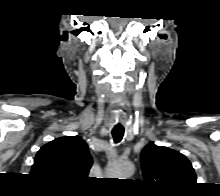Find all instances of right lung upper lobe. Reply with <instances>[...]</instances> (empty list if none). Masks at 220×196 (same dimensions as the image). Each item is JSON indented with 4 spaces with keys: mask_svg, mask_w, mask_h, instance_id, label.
<instances>
[{
    "mask_svg": "<svg viewBox=\"0 0 220 196\" xmlns=\"http://www.w3.org/2000/svg\"><path fill=\"white\" fill-rule=\"evenodd\" d=\"M91 166L85 141L79 136H66L41 147L31 174L49 184L70 187L82 184Z\"/></svg>",
    "mask_w": 220,
    "mask_h": 196,
    "instance_id": "obj_1",
    "label": "right lung upper lobe"
}]
</instances>
